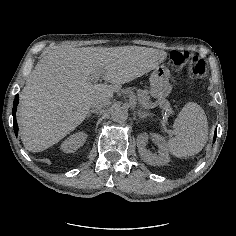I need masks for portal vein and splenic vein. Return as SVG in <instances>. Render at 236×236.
Here are the masks:
<instances>
[{
    "label": "portal vein and splenic vein",
    "mask_w": 236,
    "mask_h": 236,
    "mask_svg": "<svg viewBox=\"0 0 236 236\" xmlns=\"http://www.w3.org/2000/svg\"><path fill=\"white\" fill-rule=\"evenodd\" d=\"M101 79H102V73H100V72H96V73L92 74V76H91V80L93 82H98Z\"/></svg>",
    "instance_id": "portal-vein-and-splenic-vein-1"
}]
</instances>
